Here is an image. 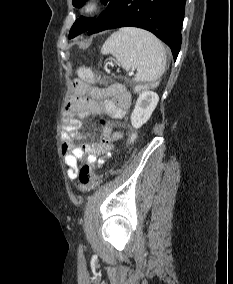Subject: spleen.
I'll return each mask as SVG.
<instances>
[{
	"mask_svg": "<svg viewBox=\"0 0 233 284\" xmlns=\"http://www.w3.org/2000/svg\"><path fill=\"white\" fill-rule=\"evenodd\" d=\"M101 52L112 54L126 71L137 69L133 78L137 83H153L165 72L166 53L163 44L143 29H120L105 41Z\"/></svg>",
	"mask_w": 233,
	"mask_h": 284,
	"instance_id": "obj_1",
	"label": "spleen"
}]
</instances>
